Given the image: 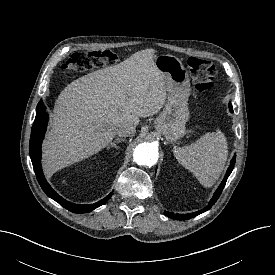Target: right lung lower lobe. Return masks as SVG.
Here are the masks:
<instances>
[{"label": "right lung lower lobe", "mask_w": 275, "mask_h": 275, "mask_svg": "<svg viewBox=\"0 0 275 275\" xmlns=\"http://www.w3.org/2000/svg\"><path fill=\"white\" fill-rule=\"evenodd\" d=\"M47 122L48 114L46 113L43 102L40 101L36 108V117L31 130L29 153L33 164V169L36 174V178L43 191L53 200L58 202L61 206L74 213H87L103 205L111 197L112 193H110L108 196L98 201L97 203L91 205H80L65 200L60 195H58L48 184L43 175L41 167V144L46 131Z\"/></svg>", "instance_id": "right-lung-lower-lobe-1"}]
</instances>
